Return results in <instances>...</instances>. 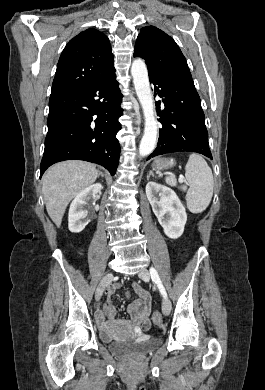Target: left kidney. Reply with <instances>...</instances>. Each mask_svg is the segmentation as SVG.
<instances>
[{
  "mask_svg": "<svg viewBox=\"0 0 265 390\" xmlns=\"http://www.w3.org/2000/svg\"><path fill=\"white\" fill-rule=\"evenodd\" d=\"M157 194L159 199L156 198ZM146 196L165 235L171 239L179 238L183 234L187 214L177 194L164 185L150 181L146 185Z\"/></svg>",
  "mask_w": 265,
  "mask_h": 390,
  "instance_id": "left-kidney-1",
  "label": "left kidney"
}]
</instances>
